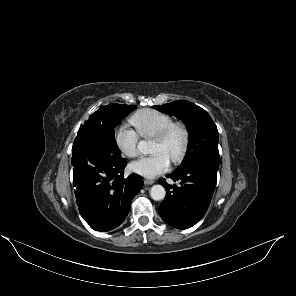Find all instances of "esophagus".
Listing matches in <instances>:
<instances>
[{"label": "esophagus", "instance_id": "1", "mask_svg": "<svg viewBox=\"0 0 296 296\" xmlns=\"http://www.w3.org/2000/svg\"><path fill=\"white\" fill-rule=\"evenodd\" d=\"M144 182L146 185H152V184H154L155 181L152 179H145Z\"/></svg>", "mask_w": 296, "mask_h": 296}]
</instances>
